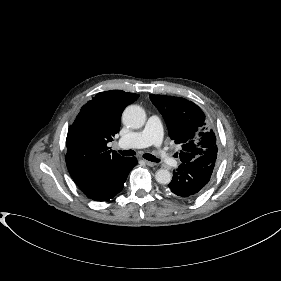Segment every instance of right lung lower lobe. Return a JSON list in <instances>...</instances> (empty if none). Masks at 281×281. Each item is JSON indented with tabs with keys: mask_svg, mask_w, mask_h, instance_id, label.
<instances>
[{
	"mask_svg": "<svg viewBox=\"0 0 281 281\" xmlns=\"http://www.w3.org/2000/svg\"><path fill=\"white\" fill-rule=\"evenodd\" d=\"M136 164L137 159L135 157L124 158L97 185L83 192L88 198L95 201H108L112 199L123 189L128 174Z\"/></svg>",
	"mask_w": 281,
	"mask_h": 281,
	"instance_id": "98d812e1",
	"label": "right lung lower lobe"
}]
</instances>
